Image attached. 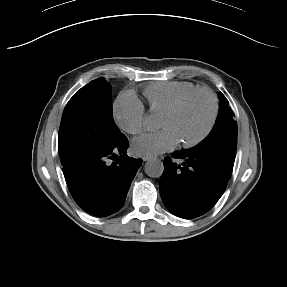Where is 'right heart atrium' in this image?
I'll use <instances>...</instances> for the list:
<instances>
[{"instance_id": "right-heart-atrium-1", "label": "right heart atrium", "mask_w": 287, "mask_h": 287, "mask_svg": "<svg viewBox=\"0 0 287 287\" xmlns=\"http://www.w3.org/2000/svg\"><path fill=\"white\" fill-rule=\"evenodd\" d=\"M113 113L118 124L130 134H138L146 127L144 106L133 92H125L116 99Z\"/></svg>"}]
</instances>
